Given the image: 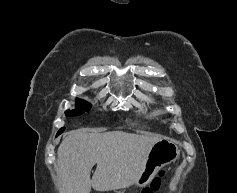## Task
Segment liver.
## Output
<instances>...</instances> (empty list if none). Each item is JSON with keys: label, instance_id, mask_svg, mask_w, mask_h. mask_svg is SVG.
Here are the masks:
<instances>
[{"label": "liver", "instance_id": "1", "mask_svg": "<svg viewBox=\"0 0 237 193\" xmlns=\"http://www.w3.org/2000/svg\"><path fill=\"white\" fill-rule=\"evenodd\" d=\"M161 139L123 131H70L57 150L59 193H90L91 187L105 192L131 186L140 176L149 150Z\"/></svg>", "mask_w": 237, "mask_h": 193}]
</instances>
